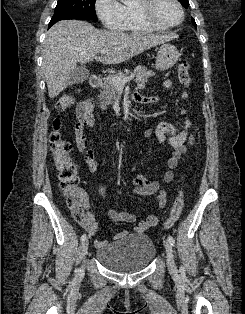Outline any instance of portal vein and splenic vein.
<instances>
[{
  "label": "portal vein and splenic vein",
  "mask_w": 245,
  "mask_h": 314,
  "mask_svg": "<svg viewBox=\"0 0 245 314\" xmlns=\"http://www.w3.org/2000/svg\"><path fill=\"white\" fill-rule=\"evenodd\" d=\"M107 50L100 51L101 55L107 54ZM135 77L134 74H131L130 76L124 77V78H118V77H112V82L117 88H123L127 82L132 80Z\"/></svg>",
  "instance_id": "18ae733b"
}]
</instances>
